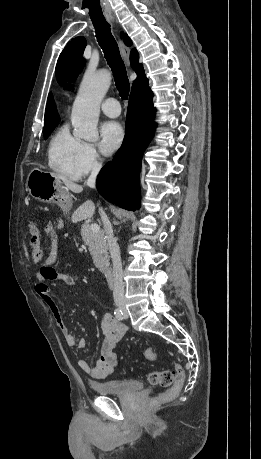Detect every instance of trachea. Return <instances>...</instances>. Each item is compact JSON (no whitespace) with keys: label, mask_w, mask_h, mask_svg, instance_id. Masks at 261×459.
Returning <instances> with one entry per match:
<instances>
[{"label":"trachea","mask_w":261,"mask_h":459,"mask_svg":"<svg viewBox=\"0 0 261 459\" xmlns=\"http://www.w3.org/2000/svg\"><path fill=\"white\" fill-rule=\"evenodd\" d=\"M97 41L102 48L107 64L111 68L119 95L126 100L129 94V79L124 62L120 56L118 44L114 39L110 24L106 20H92Z\"/></svg>","instance_id":"1"}]
</instances>
